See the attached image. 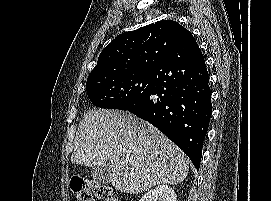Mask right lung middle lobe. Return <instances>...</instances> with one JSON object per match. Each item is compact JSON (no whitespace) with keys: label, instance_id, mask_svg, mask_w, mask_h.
I'll return each mask as SVG.
<instances>
[{"label":"right lung middle lobe","instance_id":"dd1d6c3e","mask_svg":"<svg viewBox=\"0 0 271 201\" xmlns=\"http://www.w3.org/2000/svg\"><path fill=\"white\" fill-rule=\"evenodd\" d=\"M151 72H128L87 79V94L97 107L120 109L126 101L133 99L153 82Z\"/></svg>","mask_w":271,"mask_h":201}]
</instances>
